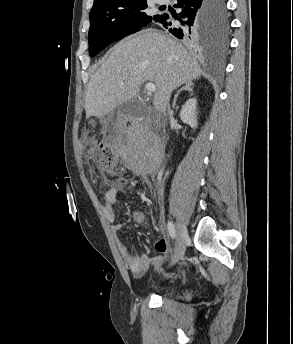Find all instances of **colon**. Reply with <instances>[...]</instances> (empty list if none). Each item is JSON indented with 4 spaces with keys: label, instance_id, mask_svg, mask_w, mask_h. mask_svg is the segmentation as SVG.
<instances>
[{
    "label": "colon",
    "instance_id": "colon-1",
    "mask_svg": "<svg viewBox=\"0 0 293 344\" xmlns=\"http://www.w3.org/2000/svg\"><path fill=\"white\" fill-rule=\"evenodd\" d=\"M89 137L88 134L85 135ZM98 164L100 169L111 176L119 174V165L115 158L113 147L110 143L102 144L99 148Z\"/></svg>",
    "mask_w": 293,
    "mask_h": 344
}]
</instances>
